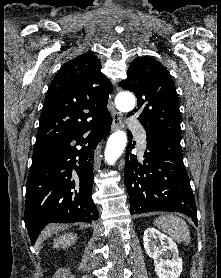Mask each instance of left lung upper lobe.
I'll list each match as a JSON object with an SVG mask.
<instances>
[{
    "label": "left lung upper lobe",
    "mask_w": 221,
    "mask_h": 278,
    "mask_svg": "<svg viewBox=\"0 0 221 278\" xmlns=\"http://www.w3.org/2000/svg\"><path fill=\"white\" fill-rule=\"evenodd\" d=\"M137 97L138 120L147 136L181 137V114L175 84L167 69L150 57H138L128 68L127 78L118 84Z\"/></svg>",
    "instance_id": "5c2ea615"
}]
</instances>
